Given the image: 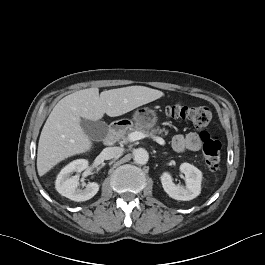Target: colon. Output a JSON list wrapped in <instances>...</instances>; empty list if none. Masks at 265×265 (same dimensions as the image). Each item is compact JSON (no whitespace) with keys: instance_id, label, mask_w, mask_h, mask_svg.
I'll list each match as a JSON object with an SVG mask.
<instances>
[{"instance_id":"1","label":"colon","mask_w":265,"mask_h":265,"mask_svg":"<svg viewBox=\"0 0 265 265\" xmlns=\"http://www.w3.org/2000/svg\"><path fill=\"white\" fill-rule=\"evenodd\" d=\"M166 114L174 119L190 121L198 129H206L213 120V112L205 106L190 107L179 103L171 104ZM202 150L208 169L215 172L220 167L221 143L206 131L201 133Z\"/></svg>"}]
</instances>
